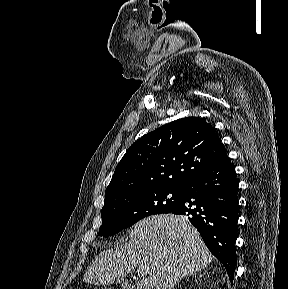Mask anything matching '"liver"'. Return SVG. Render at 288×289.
Returning a JSON list of instances; mask_svg holds the SVG:
<instances>
[{
	"label": "liver",
	"mask_w": 288,
	"mask_h": 289,
	"mask_svg": "<svg viewBox=\"0 0 288 289\" xmlns=\"http://www.w3.org/2000/svg\"><path fill=\"white\" fill-rule=\"evenodd\" d=\"M212 259L185 217L154 215L133 226L129 242L100 252L87 268L84 281L109 285L137 268L142 279L136 289H173L182 277L201 271Z\"/></svg>",
	"instance_id": "6515ba94"
}]
</instances>
